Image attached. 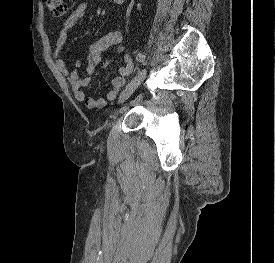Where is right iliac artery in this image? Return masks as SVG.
<instances>
[{
	"label": "right iliac artery",
	"instance_id": "obj_1",
	"mask_svg": "<svg viewBox=\"0 0 275 263\" xmlns=\"http://www.w3.org/2000/svg\"><path fill=\"white\" fill-rule=\"evenodd\" d=\"M136 59L138 62H143L145 60V56L142 53H138Z\"/></svg>",
	"mask_w": 275,
	"mask_h": 263
}]
</instances>
